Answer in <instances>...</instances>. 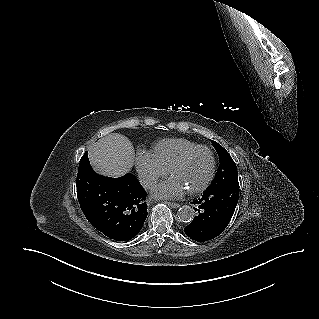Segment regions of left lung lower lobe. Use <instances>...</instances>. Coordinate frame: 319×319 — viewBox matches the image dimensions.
Listing matches in <instances>:
<instances>
[{"mask_svg":"<svg viewBox=\"0 0 319 319\" xmlns=\"http://www.w3.org/2000/svg\"><path fill=\"white\" fill-rule=\"evenodd\" d=\"M239 198V183L233 182L214 189H206L192 202L198 212L185 227V234L192 240L204 242L220 235L229 224Z\"/></svg>","mask_w":319,"mask_h":319,"instance_id":"left-lung-lower-lobe-1","label":"left lung lower lobe"}]
</instances>
